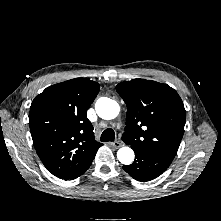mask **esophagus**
<instances>
[{"instance_id": "esophagus-1", "label": "esophagus", "mask_w": 221, "mask_h": 221, "mask_svg": "<svg viewBox=\"0 0 221 221\" xmlns=\"http://www.w3.org/2000/svg\"><path fill=\"white\" fill-rule=\"evenodd\" d=\"M109 145L111 146V147H114V148H120L121 146H123V144L120 142V141H115V142H111V143H109Z\"/></svg>"}]
</instances>
